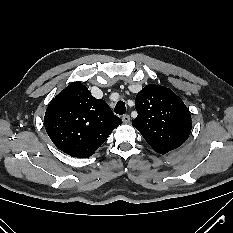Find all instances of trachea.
I'll list each match as a JSON object with an SVG mask.
<instances>
[{"instance_id": "3493384b", "label": "trachea", "mask_w": 233, "mask_h": 233, "mask_svg": "<svg viewBox=\"0 0 233 233\" xmlns=\"http://www.w3.org/2000/svg\"><path fill=\"white\" fill-rule=\"evenodd\" d=\"M116 114L122 115L126 112V107H125V103L123 101H119L114 109Z\"/></svg>"}]
</instances>
